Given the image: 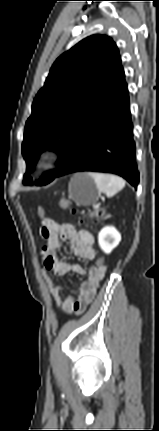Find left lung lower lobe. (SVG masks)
I'll return each mask as SVG.
<instances>
[{
    "instance_id": "left-lung-lower-lobe-1",
    "label": "left lung lower lobe",
    "mask_w": 159,
    "mask_h": 431,
    "mask_svg": "<svg viewBox=\"0 0 159 431\" xmlns=\"http://www.w3.org/2000/svg\"><path fill=\"white\" fill-rule=\"evenodd\" d=\"M133 125L127 84L79 131L64 167L56 177L80 171L114 173L137 188Z\"/></svg>"
}]
</instances>
